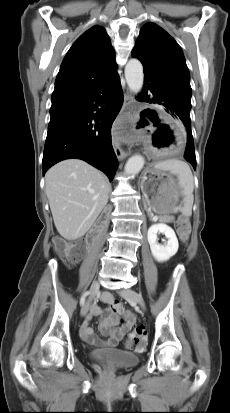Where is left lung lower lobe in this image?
<instances>
[{"instance_id":"left-lung-lower-lobe-1","label":"left lung lower lobe","mask_w":230,"mask_h":413,"mask_svg":"<svg viewBox=\"0 0 230 413\" xmlns=\"http://www.w3.org/2000/svg\"><path fill=\"white\" fill-rule=\"evenodd\" d=\"M148 92L152 93L153 98H150V96L147 95ZM138 100L141 102L160 104L166 108V112L182 122L187 135L184 157L191 163L194 169H196V157L190 121L191 107L177 95L167 91L155 75L146 71H144V90L138 96Z\"/></svg>"}]
</instances>
